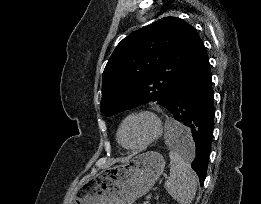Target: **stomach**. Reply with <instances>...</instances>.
Returning a JSON list of instances; mask_svg holds the SVG:
<instances>
[{
  "label": "stomach",
  "instance_id": "0dacf381",
  "mask_svg": "<svg viewBox=\"0 0 261 204\" xmlns=\"http://www.w3.org/2000/svg\"><path fill=\"white\" fill-rule=\"evenodd\" d=\"M165 160L154 151L142 153L84 179L72 204H133L154 186Z\"/></svg>",
  "mask_w": 261,
  "mask_h": 204
}]
</instances>
